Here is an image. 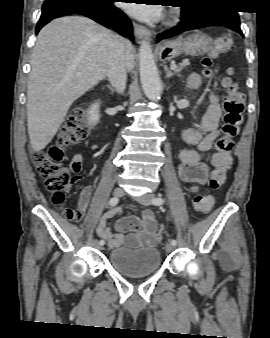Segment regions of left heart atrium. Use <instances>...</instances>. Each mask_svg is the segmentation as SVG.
<instances>
[{
  "mask_svg": "<svg viewBox=\"0 0 270 338\" xmlns=\"http://www.w3.org/2000/svg\"><path fill=\"white\" fill-rule=\"evenodd\" d=\"M124 8L129 13L142 20L153 21L157 20L161 16V8L159 5H139L137 3H125Z\"/></svg>",
  "mask_w": 270,
  "mask_h": 338,
  "instance_id": "39dd6f15",
  "label": "left heart atrium"
}]
</instances>
